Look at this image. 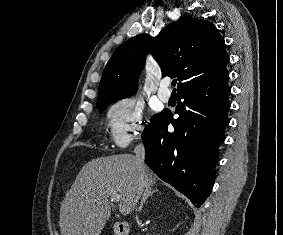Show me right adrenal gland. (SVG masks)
<instances>
[{
    "label": "right adrenal gland",
    "instance_id": "2a0ac1e0",
    "mask_svg": "<svg viewBox=\"0 0 283 235\" xmlns=\"http://www.w3.org/2000/svg\"><path fill=\"white\" fill-rule=\"evenodd\" d=\"M158 192V189H148L144 192V196L141 200V204L138 208L139 211L142 210L144 203L146 202V200L153 195V193Z\"/></svg>",
    "mask_w": 283,
    "mask_h": 235
}]
</instances>
